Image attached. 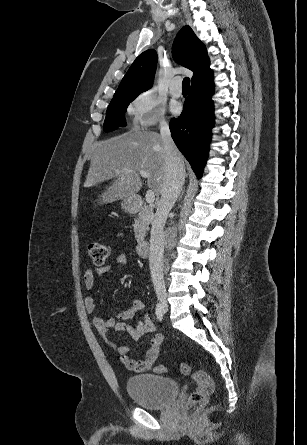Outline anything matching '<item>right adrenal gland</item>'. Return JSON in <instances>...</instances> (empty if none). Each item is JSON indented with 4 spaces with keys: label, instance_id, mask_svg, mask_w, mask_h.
I'll return each instance as SVG.
<instances>
[{
    "label": "right adrenal gland",
    "instance_id": "1",
    "mask_svg": "<svg viewBox=\"0 0 307 445\" xmlns=\"http://www.w3.org/2000/svg\"><path fill=\"white\" fill-rule=\"evenodd\" d=\"M182 196H183V192H182V194H180L179 198H182Z\"/></svg>",
    "mask_w": 307,
    "mask_h": 445
}]
</instances>
